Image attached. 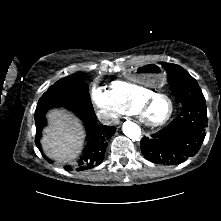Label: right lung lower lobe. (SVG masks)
Listing matches in <instances>:
<instances>
[{
	"label": "right lung lower lobe",
	"mask_w": 221,
	"mask_h": 221,
	"mask_svg": "<svg viewBox=\"0 0 221 221\" xmlns=\"http://www.w3.org/2000/svg\"><path fill=\"white\" fill-rule=\"evenodd\" d=\"M77 113V112H76ZM82 120L84 121L87 131V144L83 151L82 156L77 160L76 163L66 165L64 168L66 170H73L76 169L78 171H83L87 169H91L96 165H99L105 155V150L108 145V140L111 136L115 133L116 128L111 126H103L97 125L96 116L92 107V110L84 111L83 113H77ZM36 123V139L35 143L37 147L41 150L39 139L41 137V130L46 125V119L44 116L35 119ZM44 158L49 162L52 163L47 157Z\"/></svg>",
	"instance_id": "1"
}]
</instances>
